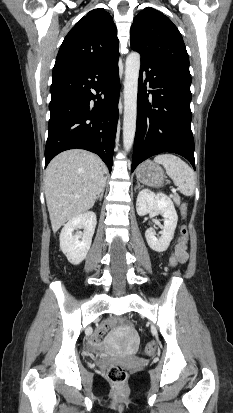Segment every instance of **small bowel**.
Masks as SVG:
<instances>
[{
	"label": "small bowel",
	"mask_w": 233,
	"mask_h": 413,
	"mask_svg": "<svg viewBox=\"0 0 233 413\" xmlns=\"http://www.w3.org/2000/svg\"><path fill=\"white\" fill-rule=\"evenodd\" d=\"M178 249L179 253V262L184 263L187 260L186 253V242L182 243L180 236L175 247V250ZM116 320L114 318L108 319L105 321L98 330V335L94 336L90 341V348L93 353L99 354L103 351V343L101 341L100 335L105 332L110 326H112Z\"/></svg>",
	"instance_id": "c3829d8e"
}]
</instances>
